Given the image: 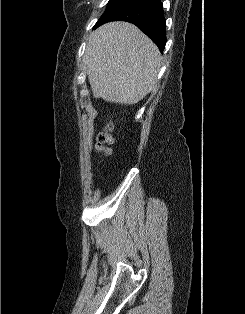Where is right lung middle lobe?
<instances>
[{"label": "right lung middle lobe", "mask_w": 245, "mask_h": 314, "mask_svg": "<svg viewBox=\"0 0 245 314\" xmlns=\"http://www.w3.org/2000/svg\"><path fill=\"white\" fill-rule=\"evenodd\" d=\"M127 1L128 0H110L108 2L106 11L100 17V19L98 20L96 25L99 24L101 21H103L111 12H113L115 9H117L118 7H120L121 5H123Z\"/></svg>", "instance_id": "right-lung-middle-lobe-1"}]
</instances>
